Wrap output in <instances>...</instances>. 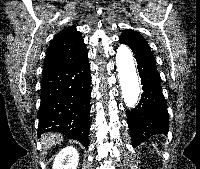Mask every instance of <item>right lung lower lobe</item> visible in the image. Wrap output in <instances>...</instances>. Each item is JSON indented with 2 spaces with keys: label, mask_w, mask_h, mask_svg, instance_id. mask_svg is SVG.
Listing matches in <instances>:
<instances>
[{
  "label": "right lung lower lobe",
  "mask_w": 200,
  "mask_h": 169,
  "mask_svg": "<svg viewBox=\"0 0 200 169\" xmlns=\"http://www.w3.org/2000/svg\"><path fill=\"white\" fill-rule=\"evenodd\" d=\"M90 83L87 51L71 64L44 71L38 135L59 132L88 147Z\"/></svg>",
  "instance_id": "1"
}]
</instances>
